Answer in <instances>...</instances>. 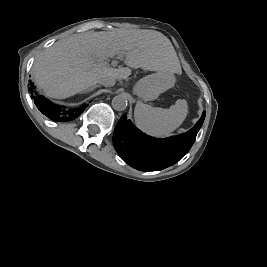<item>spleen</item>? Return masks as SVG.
<instances>
[{
  "instance_id": "obj_1",
  "label": "spleen",
  "mask_w": 267,
  "mask_h": 267,
  "mask_svg": "<svg viewBox=\"0 0 267 267\" xmlns=\"http://www.w3.org/2000/svg\"><path fill=\"white\" fill-rule=\"evenodd\" d=\"M187 116L185 100H177L169 109L155 108L137 102L134 110L136 126L152 137L165 138L183 123Z\"/></svg>"
}]
</instances>
